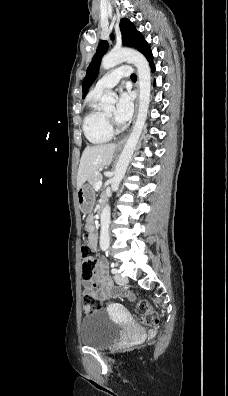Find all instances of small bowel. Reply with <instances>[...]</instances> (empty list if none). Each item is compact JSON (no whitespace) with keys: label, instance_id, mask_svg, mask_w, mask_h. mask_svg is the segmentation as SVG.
Wrapping results in <instances>:
<instances>
[{"label":"small bowel","instance_id":"c3829d8e","mask_svg":"<svg viewBox=\"0 0 228 396\" xmlns=\"http://www.w3.org/2000/svg\"><path fill=\"white\" fill-rule=\"evenodd\" d=\"M87 222L90 230L88 245L93 252H96L98 247V236L92 228V217H89ZM83 287L85 293L94 294L101 301L109 300L120 293L127 295L128 297H132L131 294L127 292H119L113 287L102 263L98 265L97 271L95 272L92 280L83 281Z\"/></svg>","mask_w":228,"mask_h":396}]
</instances>
